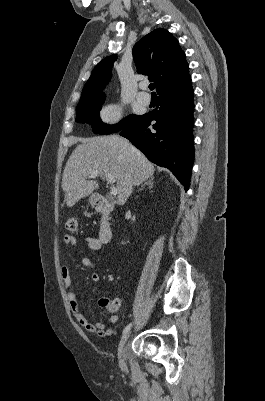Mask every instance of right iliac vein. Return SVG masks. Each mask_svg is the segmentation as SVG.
<instances>
[{
    "label": "right iliac vein",
    "mask_w": 265,
    "mask_h": 401,
    "mask_svg": "<svg viewBox=\"0 0 265 401\" xmlns=\"http://www.w3.org/2000/svg\"><path fill=\"white\" fill-rule=\"evenodd\" d=\"M130 337V333H126L123 338L121 339L119 346H118V360H119V365L122 369L126 368V362H125V358L123 356V350L124 347L126 346V343L128 341Z\"/></svg>",
    "instance_id": "63e3f726"
}]
</instances>
